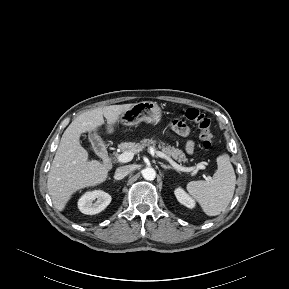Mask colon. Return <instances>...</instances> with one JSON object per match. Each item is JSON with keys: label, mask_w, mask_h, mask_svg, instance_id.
<instances>
[{"label": "colon", "mask_w": 289, "mask_h": 289, "mask_svg": "<svg viewBox=\"0 0 289 289\" xmlns=\"http://www.w3.org/2000/svg\"><path fill=\"white\" fill-rule=\"evenodd\" d=\"M183 117L192 122L199 129V138L201 140L202 147L209 150L213 144V134L211 131L212 122L211 119L199 111L198 109L188 108L182 112Z\"/></svg>", "instance_id": "1"}]
</instances>
